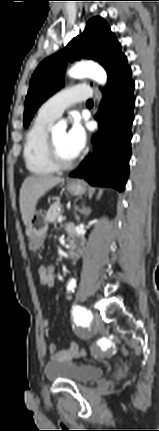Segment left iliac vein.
<instances>
[{
	"mask_svg": "<svg viewBox=\"0 0 159 431\" xmlns=\"http://www.w3.org/2000/svg\"><path fill=\"white\" fill-rule=\"evenodd\" d=\"M93 323L97 326L101 325L102 321H101V317L98 313L93 314Z\"/></svg>",
	"mask_w": 159,
	"mask_h": 431,
	"instance_id": "obj_1",
	"label": "left iliac vein"
}]
</instances>
